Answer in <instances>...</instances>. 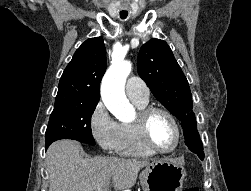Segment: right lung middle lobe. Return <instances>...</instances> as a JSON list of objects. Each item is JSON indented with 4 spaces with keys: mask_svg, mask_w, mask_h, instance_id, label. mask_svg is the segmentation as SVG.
Segmentation results:
<instances>
[{
    "mask_svg": "<svg viewBox=\"0 0 251 191\" xmlns=\"http://www.w3.org/2000/svg\"><path fill=\"white\" fill-rule=\"evenodd\" d=\"M97 103L54 107L45 133L46 147L59 139H73L95 145L91 116Z\"/></svg>",
    "mask_w": 251,
    "mask_h": 191,
    "instance_id": "dd1d6c3e",
    "label": "right lung middle lobe"
}]
</instances>
